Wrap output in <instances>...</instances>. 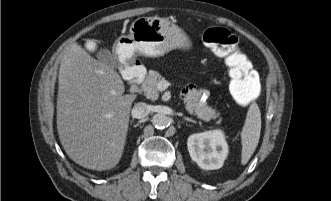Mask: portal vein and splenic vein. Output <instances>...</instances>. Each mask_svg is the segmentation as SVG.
Wrapping results in <instances>:
<instances>
[{"label":"portal vein and splenic vein","mask_w":331,"mask_h":201,"mask_svg":"<svg viewBox=\"0 0 331 201\" xmlns=\"http://www.w3.org/2000/svg\"><path fill=\"white\" fill-rule=\"evenodd\" d=\"M162 83H163V82H160V83L158 84V86H159L160 88H162V86H163ZM163 89H165V88H163Z\"/></svg>","instance_id":"portal-vein-and-splenic-vein-1"}]
</instances>
